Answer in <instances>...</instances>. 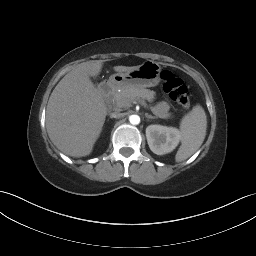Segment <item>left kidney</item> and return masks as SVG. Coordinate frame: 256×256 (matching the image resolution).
<instances>
[{"instance_id":"5707ae66","label":"left kidney","mask_w":256,"mask_h":256,"mask_svg":"<svg viewBox=\"0 0 256 256\" xmlns=\"http://www.w3.org/2000/svg\"><path fill=\"white\" fill-rule=\"evenodd\" d=\"M146 137L151 151L157 155H163L177 147L181 133L174 127L153 124L146 128Z\"/></svg>"}]
</instances>
